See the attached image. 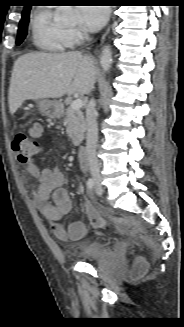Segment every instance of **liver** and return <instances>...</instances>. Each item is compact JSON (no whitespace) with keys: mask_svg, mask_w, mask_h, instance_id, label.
Returning a JSON list of instances; mask_svg holds the SVG:
<instances>
[{"mask_svg":"<svg viewBox=\"0 0 184 327\" xmlns=\"http://www.w3.org/2000/svg\"><path fill=\"white\" fill-rule=\"evenodd\" d=\"M96 69L91 57L79 51L27 53L14 63L9 87V111L13 115L24 101L61 98L90 93Z\"/></svg>","mask_w":184,"mask_h":327,"instance_id":"6515ba94","label":"liver"}]
</instances>
